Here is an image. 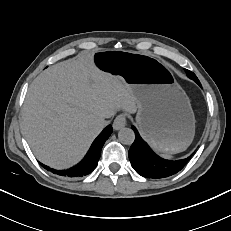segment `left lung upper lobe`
Returning a JSON list of instances; mask_svg holds the SVG:
<instances>
[{
  "label": "left lung upper lobe",
  "instance_id": "5c2ea615",
  "mask_svg": "<svg viewBox=\"0 0 231 231\" xmlns=\"http://www.w3.org/2000/svg\"><path fill=\"white\" fill-rule=\"evenodd\" d=\"M185 71H186V73H187V76H188L190 79L194 80L199 86H201V85H200V82H199V80H198V78L196 77V75H195L193 72H191V71H189V70H186V69H185Z\"/></svg>",
  "mask_w": 231,
  "mask_h": 231
}]
</instances>
